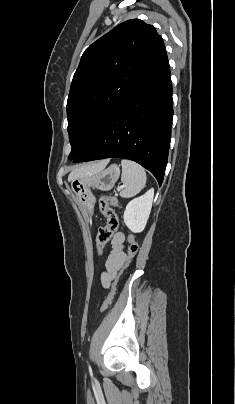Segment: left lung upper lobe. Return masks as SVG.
I'll list each match as a JSON object with an SVG mask.
<instances>
[{
    "mask_svg": "<svg viewBox=\"0 0 235 404\" xmlns=\"http://www.w3.org/2000/svg\"><path fill=\"white\" fill-rule=\"evenodd\" d=\"M152 25L125 21L91 44L74 74L67 100L69 159L87 151L117 107L164 57Z\"/></svg>",
    "mask_w": 235,
    "mask_h": 404,
    "instance_id": "obj_1",
    "label": "left lung upper lobe"
}]
</instances>
